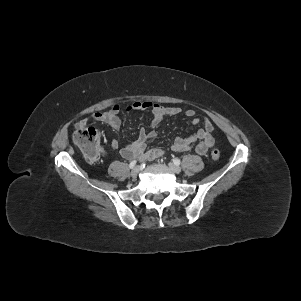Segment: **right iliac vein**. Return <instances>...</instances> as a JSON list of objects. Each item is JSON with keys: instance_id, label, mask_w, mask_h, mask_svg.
<instances>
[{"instance_id": "obj_1", "label": "right iliac vein", "mask_w": 301, "mask_h": 301, "mask_svg": "<svg viewBox=\"0 0 301 301\" xmlns=\"http://www.w3.org/2000/svg\"><path fill=\"white\" fill-rule=\"evenodd\" d=\"M139 171H140L139 166H136V167L131 171V176H132L133 178H136V177L138 176V174H139Z\"/></svg>"}]
</instances>
